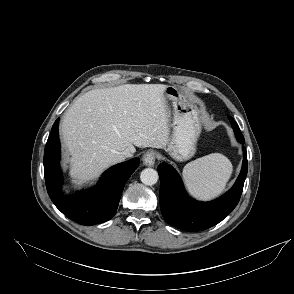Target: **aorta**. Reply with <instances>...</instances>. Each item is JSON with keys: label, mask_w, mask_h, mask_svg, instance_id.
Instances as JSON below:
<instances>
[{"label": "aorta", "mask_w": 294, "mask_h": 294, "mask_svg": "<svg viewBox=\"0 0 294 294\" xmlns=\"http://www.w3.org/2000/svg\"><path fill=\"white\" fill-rule=\"evenodd\" d=\"M158 173L152 168H146L142 170L140 174L141 182L145 185L152 186L158 181Z\"/></svg>", "instance_id": "1"}]
</instances>
